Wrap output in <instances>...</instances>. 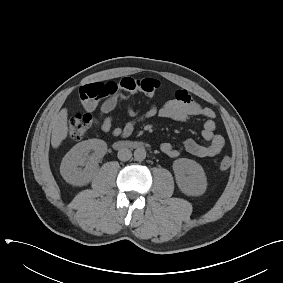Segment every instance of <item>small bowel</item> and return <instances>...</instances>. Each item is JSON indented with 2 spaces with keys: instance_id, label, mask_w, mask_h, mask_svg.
<instances>
[{
  "instance_id": "small-bowel-1",
  "label": "small bowel",
  "mask_w": 283,
  "mask_h": 283,
  "mask_svg": "<svg viewBox=\"0 0 283 283\" xmlns=\"http://www.w3.org/2000/svg\"><path fill=\"white\" fill-rule=\"evenodd\" d=\"M115 82L91 83L80 89V102L82 107L88 111H94L100 100L105 99L100 106V128L103 132H111L115 137H129L140 123L146 122L154 117H161L178 122H188L193 117H203L205 122L202 129V137L206 144H201L194 139H187L183 143V150L196 157H215L225 147V139L215 134L216 124L215 112L196 102L185 90L176 92L175 97L161 106L151 105L145 112L141 113L132 105L127 106V114L130 120L124 125L114 126V120L108 114L112 112L117 104L118 97L114 92ZM161 151L168 157L175 158L181 154V150L169 142L160 146Z\"/></svg>"
}]
</instances>
